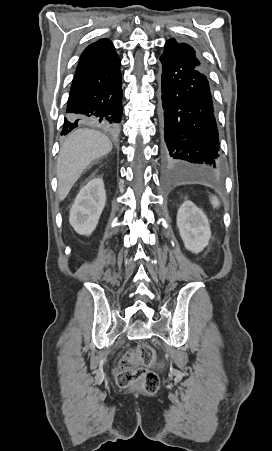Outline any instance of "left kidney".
Here are the masks:
<instances>
[{"mask_svg":"<svg viewBox=\"0 0 272 451\" xmlns=\"http://www.w3.org/2000/svg\"><path fill=\"white\" fill-rule=\"evenodd\" d=\"M177 226L186 249L193 253L202 251L211 237L208 220L202 210L196 208L193 202L185 200L177 214Z\"/></svg>","mask_w":272,"mask_h":451,"instance_id":"5707ae66","label":"left kidney"}]
</instances>
